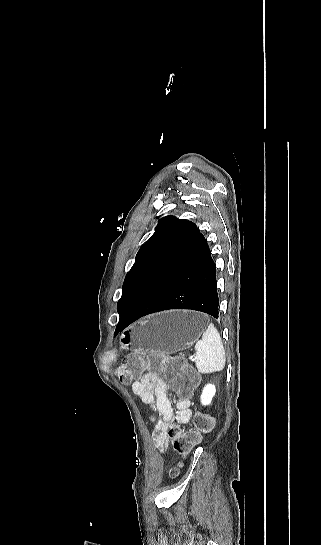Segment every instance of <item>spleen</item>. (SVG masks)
Here are the masks:
<instances>
[{"label":"spleen","instance_id":"3e777b00","mask_svg":"<svg viewBox=\"0 0 321 545\" xmlns=\"http://www.w3.org/2000/svg\"><path fill=\"white\" fill-rule=\"evenodd\" d=\"M195 351H197L195 365L198 373L205 375V373H217V371L224 369L226 363L225 349L220 333H218L213 323H210L209 327H207L201 341H197Z\"/></svg>","mask_w":321,"mask_h":545}]
</instances>
